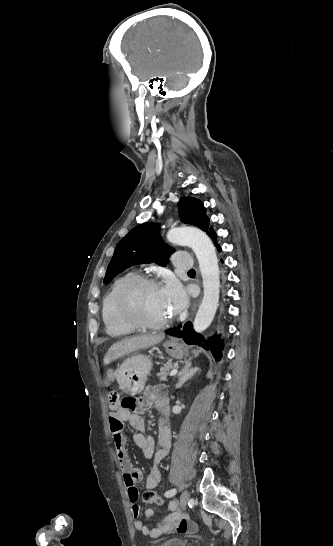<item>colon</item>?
I'll use <instances>...</instances> for the list:
<instances>
[{
	"instance_id": "5ec220e1",
	"label": "colon",
	"mask_w": 333,
	"mask_h": 546,
	"mask_svg": "<svg viewBox=\"0 0 333 546\" xmlns=\"http://www.w3.org/2000/svg\"><path fill=\"white\" fill-rule=\"evenodd\" d=\"M110 403L113 406L118 405L120 403L118 395L116 394L111 395ZM121 405L127 408H134L135 399L130 397L125 398L122 400ZM143 501L147 504H162L163 503V500L161 499V497L158 496L157 493L152 490H147L143 494Z\"/></svg>"
}]
</instances>
